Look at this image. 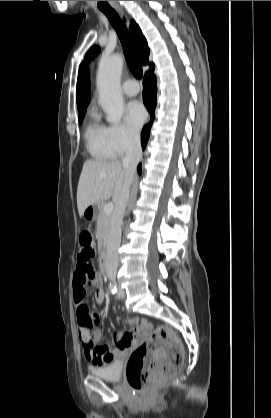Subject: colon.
<instances>
[{"instance_id": "1", "label": "colon", "mask_w": 271, "mask_h": 418, "mask_svg": "<svg viewBox=\"0 0 271 418\" xmlns=\"http://www.w3.org/2000/svg\"><path fill=\"white\" fill-rule=\"evenodd\" d=\"M79 245V262L90 261L95 245L89 230L80 231ZM182 361L183 348L178 337L170 329L159 327L131 354L126 368L127 381L134 391L140 392L149 384L175 374Z\"/></svg>"}]
</instances>
